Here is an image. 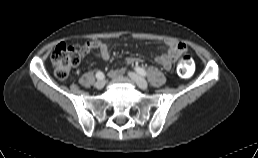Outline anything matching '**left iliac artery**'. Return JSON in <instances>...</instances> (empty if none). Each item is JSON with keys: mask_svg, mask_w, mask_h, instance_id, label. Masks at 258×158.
<instances>
[{"mask_svg": "<svg viewBox=\"0 0 258 158\" xmlns=\"http://www.w3.org/2000/svg\"><path fill=\"white\" fill-rule=\"evenodd\" d=\"M135 71L140 74L141 76H146V71L145 69L141 68V67H136Z\"/></svg>", "mask_w": 258, "mask_h": 158, "instance_id": "obj_1", "label": "left iliac artery"}]
</instances>
